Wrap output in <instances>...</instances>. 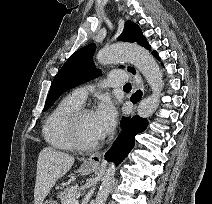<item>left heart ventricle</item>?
I'll return each mask as SVG.
<instances>
[{
    "instance_id": "b2bd125f",
    "label": "left heart ventricle",
    "mask_w": 212,
    "mask_h": 204,
    "mask_svg": "<svg viewBox=\"0 0 212 204\" xmlns=\"http://www.w3.org/2000/svg\"><path fill=\"white\" fill-rule=\"evenodd\" d=\"M79 133L85 143H94L100 140L95 112L84 115L79 123Z\"/></svg>"
}]
</instances>
